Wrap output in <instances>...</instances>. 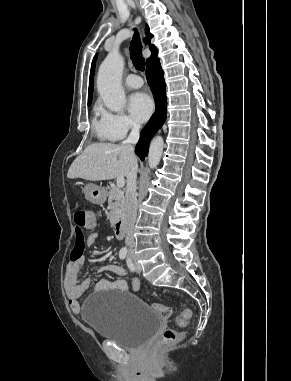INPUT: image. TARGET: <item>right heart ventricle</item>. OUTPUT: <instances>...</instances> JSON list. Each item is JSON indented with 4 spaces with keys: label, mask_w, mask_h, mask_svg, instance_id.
<instances>
[{
    "label": "right heart ventricle",
    "mask_w": 291,
    "mask_h": 381,
    "mask_svg": "<svg viewBox=\"0 0 291 381\" xmlns=\"http://www.w3.org/2000/svg\"><path fill=\"white\" fill-rule=\"evenodd\" d=\"M94 120H93V130L95 134L103 140L113 141L115 140L111 135L107 132L102 122V119L99 117L101 110L100 107L96 106L94 108Z\"/></svg>",
    "instance_id": "obj_1"
}]
</instances>
